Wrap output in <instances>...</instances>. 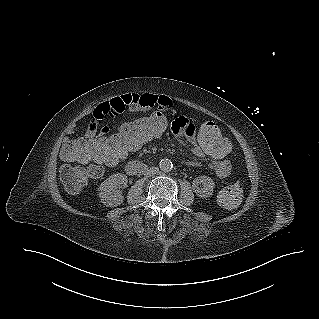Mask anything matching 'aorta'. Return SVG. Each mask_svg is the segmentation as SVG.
Wrapping results in <instances>:
<instances>
[{
	"label": "aorta",
	"mask_w": 319,
	"mask_h": 319,
	"mask_svg": "<svg viewBox=\"0 0 319 319\" xmlns=\"http://www.w3.org/2000/svg\"><path fill=\"white\" fill-rule=\"evenodd\" d=\"M159 167L163 172H169L173 168V164L169 159H162L159 163Z\"/></svg>",
	"instance_id": "obj_1"
}]
</instances>
